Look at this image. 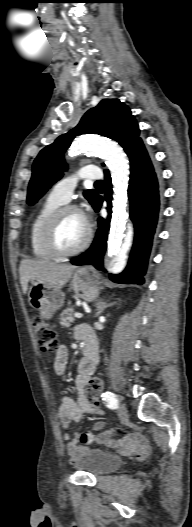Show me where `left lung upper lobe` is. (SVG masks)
Listing matches in <instances>:
<instances>
[{
    "label": "left lung upper lobe",
    "instance_id": "1",
    "mask_svg": "<svg viewBox=\"0 0 192 527\" xmlns=\"http://www.w3.org/2000/svg\"><path fill=\"white\" fill-rule=\"evenodd\" d=\"M139 131L134 116L124 103L118 99H103L86 112L74 129L40 151L34 160L27 203H36L52 184L61 179L65 167L63 154L76 135L93 133L106 136L119 142L128 155L135 145L142 142ZM84 196L95 209L99 195L94 190H86Z\"/></svg>",
    "mask_w": 192,
    "mask_h": 527
}]
</instances>
